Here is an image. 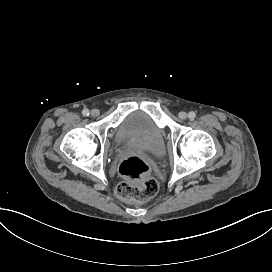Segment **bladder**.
Listing matches in <instances>:
<instances>
[{
    "instance_id": "obj_1",
    "label": "bladder",
    "mask_w": 272,
    "mask_h": 272,
    "mask_svg": "<svg viewBox=\"0 0 272 272\" xmlns=\"http://www.w3.org/2000/svg\"><path fill=\"white\" fill-rule=\"evenodd\" d=\"M164 138V131L154 120L132 113L119 124L116 140L120 147L135 146L143 153L157 155L164 147Z\"/></svg>"
}]
</instances>
